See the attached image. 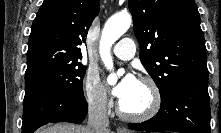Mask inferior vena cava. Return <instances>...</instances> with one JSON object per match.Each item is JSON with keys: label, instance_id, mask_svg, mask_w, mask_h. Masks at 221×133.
<instances>
[{"label": "inferior vena cava", "instance_id": "602c4592", "mask_svg": "<svg viewBox=\"0 0 221 133\" xmlns=\"http://www.w3.org/2000/svg\"><path fill=\"white\" fill-rule=\"evenodd\" d=\"M107 115V99L105 96L96 98L88 107L89 133H109Z\"/></svg>", "mask_w": 221, "mask_h": 133}]
</instances>
